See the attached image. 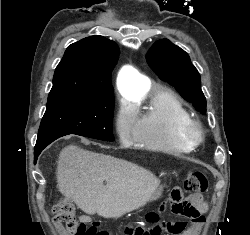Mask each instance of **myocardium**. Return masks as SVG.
<instances>
[{
	"label": "myocardium",
	"instance_id": "myocardium-1",
	"mask_svg": "<svg viewBox=\"0 0 250 235\" xmlns=\"http://www.w3.org/2000/svg\"><path fill=\"white\" fill-rule=\"evenodd\" d=\"M180 136L190 147L195 148L202 143L204 131L201 124L191 118L181 126Z\"/></svg>",
	"mask_w": 250,
	"mask_h": 235
}]
</instances>
